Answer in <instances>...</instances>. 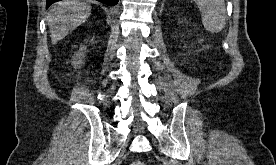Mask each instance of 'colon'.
Instances as JSON below:
<instances>
[{
  "instance_id": "5ec220e1",
  "label": "colon",
  "mask_w": 276,
  "mask_h": 165,
  "mask_svg": "<svg viewBox=\"0 0 276 165\" xmlns=\"http://www.w3.org/2000/svg\"><path fill=\"white\" fill-rule=\"evenodd\" d=\"M131 165H146V164L142 161H134L133 163H131Z\"/></svg>"
}]
</instances>
